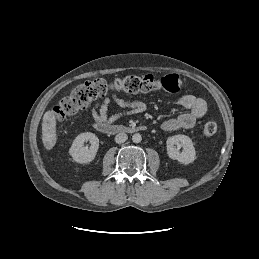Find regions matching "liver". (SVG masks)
Masks as SVG:
<instances>
[{"label":"liver","mask_w":259,"mask_h":259,"mask_svg":"<svg viewBox=\"0 0 259 259\" xmlns=\"http://www.w3.org/2000/svg\"><path fill=\"white\" fill-rule=\"evenodd\" d=\"M56 114L49 110L45 112L42 122V142L47 150H51L57 141Z\"/></svg>","instance_id":"6515ba94"}]
</instances>
